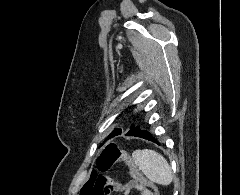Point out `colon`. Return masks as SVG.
<instances>
[{
	"instance_id": "obj_1",
	"label": "colon",
	"mask_w": 240,
	"mask_h": 195,
	"mask_svg": "<svg viewBox=\"0 0 240 195\" xmlns=\"http://www.w3.org/2000/svg\"><path fill=\"white\" fill-rule=\"evenodd\" d=\"M118 162L125 163L127 169H130L135 164L131 156L129 154H122L116 144H106L97 158L99 169L110 170ZM129 173L138 180L140 185L144 187L150 195H154L158 190L156 185L152 186L146 181V178L137 166L131 168ZM83 191L81 195H108L110 192L119 191V184L108 177L92 172L84 184Z\"/></svg>"
}]
</instances>
